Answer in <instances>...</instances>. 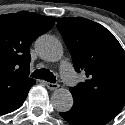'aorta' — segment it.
I'll use <instances>...</instances> for the list:
<instances>
[{
    "mask_svg": "<svg viewBox=\"0 0 125 125\" xmlns=\"http://www.w3.org/2000/svg\"><path fill=\"white\" fill-rule=\"evenodd\" d=\"M36 48L39 56L48 62H57L63 56L62 44L51 35L40 36L36 41ZM51 102L56 111L66 112L73 105V97L69 90L59 88L53 92Z\"/></svg>",
    "mask_w": 125,
    "mask_h": 125,
    "instance_id": "762f6f07",
    "label": "aorta"
}]
</instances>
